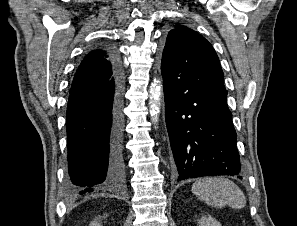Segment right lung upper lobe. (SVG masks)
<instances>
[{
  "label": "right lung upper lobe",
  "mask_w": 297,
  "mask_h": 226,
  "mask_svg": "<svg viewBox=\"0 0 297 226\" xmlns=\"http://www.w3.org/2000/svg\"><path fill=\"white\" fill-rule=\"evenodd\" d=\"M114 58L102 49L88 53L74 76L70 93L87 91L101 87L113 79Z\"/></svg>",
  "instance_id": "right-lung-upper-lobe-1"
}]
</instances>
